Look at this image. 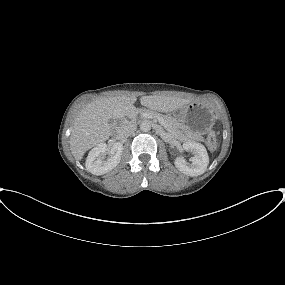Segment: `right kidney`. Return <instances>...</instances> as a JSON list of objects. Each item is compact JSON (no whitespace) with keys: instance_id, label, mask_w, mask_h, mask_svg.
<instances>
[{"instance_id":"right-kidney-1","label":"right kidney","mask_w":285,"mask_h":285,"mask_svg":"<svg viewBox=\"0 0 285 285\" xmlns=\"http://www.w3.org/2000/svg\"><path fill=\"white\" fill-rule=\"evenodd\" d=\"M106 143H100L94 147L88 154L86 159V169L94 175H103L114 169L121 160L123 145L116 142L109 149V157L105 160L104 156L107 153Z\"/></svg>"}]
</instances>
